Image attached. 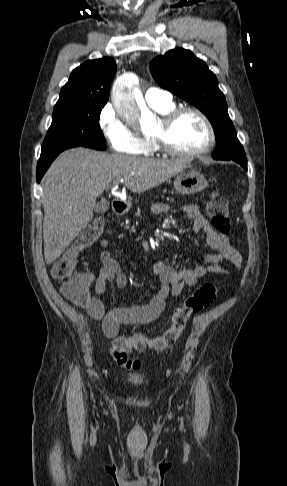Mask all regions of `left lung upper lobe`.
Masks as SVG:
<instances>
[{"mask_svg": "<svg viewBox=\"0 0 287 486\" xmlns=\"http://www.w3.org/2000/svg\"><path fill=\"white\" fill-rule=\"evenodd\" d=\"M150 71L161 87L193 104L209 119L218 143L212 154L214 159L246 160L224 94L204 61L190 50L175 48L153 59Z\"/></svg>", "mask_w": 287, "mask_h": 486, "instance_id": "left-lung-upper-lobe-1", "label": "left lung upper lobe"}]
</instances>
